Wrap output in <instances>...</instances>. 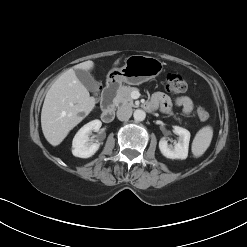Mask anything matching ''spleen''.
<instances>
[{
	"label": "spleen",
	"instance_id": "obj_1",
	"mask_svg": "<svg viewBox=\"0 0 247 247\" xmlns=\"http://www.w3.org/2000/svg\"><path fill=\"white\" fill-rule=\"evenodd\" d=\"M213 137L211 126L201 128L195 135L192 142V153L195 157L202 156L210 146Z\"/></svg>",
	"mask_w": 247,
	"mask_h": 247
}]
</instances>
